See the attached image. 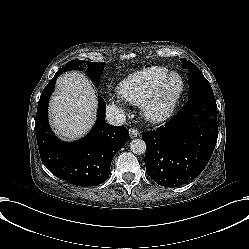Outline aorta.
Here are the masks:
<instances>
[{"mask_svg": "<svg viewBox=\"0 0 249 249\" xmlns=\"http://www.w3.org/2000/svg\"><path fill=\"white\" fill-rule=\"evenodd\" d=\"M130 150L137 155H143L146 153V143L139 138L133 139L130 142Z\"/></svg>", "mask_w": 249, "mask_h": 249, "instance_id": "obj_1", "label": "aorta"}]
</instances>
